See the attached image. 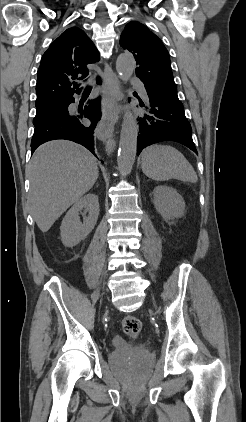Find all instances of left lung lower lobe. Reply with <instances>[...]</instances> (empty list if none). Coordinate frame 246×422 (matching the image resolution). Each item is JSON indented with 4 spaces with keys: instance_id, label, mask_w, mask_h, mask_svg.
Segmentation results:
<instances>
[{
    "instance_id": "0a47b994",
    "label": "left lung lower lobe",
    "mask_w": 246,
    "mask_h": 422,
    "mask_svg": "<svg viewBox=\"0 0 246 422\" xmlns=\"http://www.w3.org/2000/svg\"><path fill=\"white\" fill-rule=\"evenodd\" d=\"M146 91L145 102L140 101L144 114L137 118V155L147 146L167 140L179 142L197 153L183 105L173 104L151 90Z\"/></svg>"
}]
</instances>
